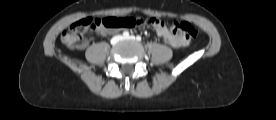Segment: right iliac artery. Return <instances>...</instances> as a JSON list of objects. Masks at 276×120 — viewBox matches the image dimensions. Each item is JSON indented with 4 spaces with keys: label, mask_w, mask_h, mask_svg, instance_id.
<instances>
[{
    "label": "right iliac artery",
    "mask_w": 276,
    "mask_h": 120,
    "mask_svg": "<svg viewBox=\"0 0 276 120\" xmlns=\"http://www.w3.org/2000/svg\"><path fill=\"white\" fill-rule=\"evenodd\" d=\"M123 37L128 38L129 37V32L128 31H124L123 32Z\"/></svg>",
    "instance_id": "obj_1"
}]
</instances>
